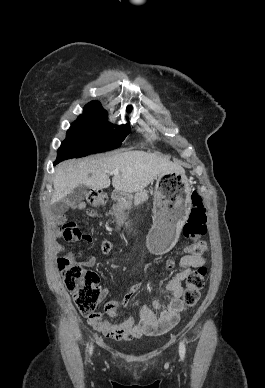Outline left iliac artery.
<instances>
[{
	"label": "left iliac artery",
	"mask_w": 265,
	"mask_h": 388,
	"mask_svg": "<svg viewBox=\"0 0 265 388\" xmlns=\"http://www.w3.org/2000/svg\"><path fill=\"white\" fill-rule=\"evenodd\" d=\"M179 352H180V354L182 356H184V354H185V344H184V342H180Z\"/></svg>",
	"instance_id": "44dca946"
}]
</instances>
